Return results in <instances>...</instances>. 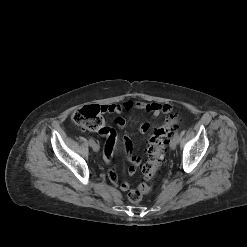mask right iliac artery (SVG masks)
<instances>
[{
    "label": "right iliac artery",
    "instance_id": "obj_1",
    "mask_svg": "<svg viewBox=\"0 0 247 247\" xmlns=\"http://www.w3.org/2000/svg\"><path fill=\"white\" fill-rule=\"evenodd\" d=\"M92 143H94V140L92 138L89 139V144L91 145Z\"/></svg>",
    "mask_w": 247,
    "mask_h": 247
}]
</instances>
